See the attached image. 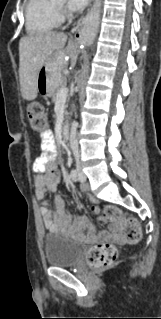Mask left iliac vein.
Segmentation results:
<instances>
[{"label": "left iliac vein", "instance_id": "4c4485c4", "mask_svg": "<svg viewBox=\"0 0 161 319\" xmlns=\"http://www.w3.org/2000/svg\"><path fill=\"white\" fill-rule=\"evenodd\" d=\"M79 180H80L81 182H85V181H86V176H85L84 173L81 172V171H80V173H79Z\"/></svg>", "mask_w": 161, "mask_h": 319}]
</instances>
